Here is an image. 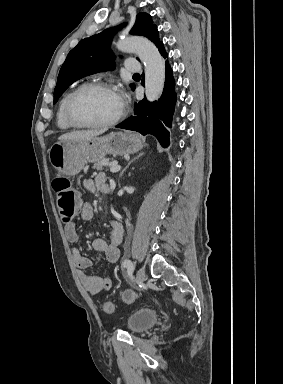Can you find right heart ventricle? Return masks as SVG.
<instances>
[{"label": "right heart ventricle", "instance_id": "right-heart-ventricle-1", "mask_svg": "<svg viewBox=\"0 0 283 384\" xmlns=\"http://www.w3.org/2000/svg\"><path fill=\"white\" fill-rule=\"evenodd\" d=\"M76 89H71L69 90L68 92H66L62 98L60 99L59 103H58V106H57V110H56V124L58 126L59 129H61L62 131H69L72 129L71 126H69V124L67 123L66 119H65V115H64V111H65V105H66V102L69 98V96L75 91Z\"/></svg>", "mask_w": 283, "mask_h": 384}]
</instances>
